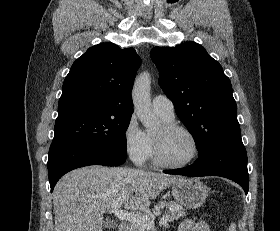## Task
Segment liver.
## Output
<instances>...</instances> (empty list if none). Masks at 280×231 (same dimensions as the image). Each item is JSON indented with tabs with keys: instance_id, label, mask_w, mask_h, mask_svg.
<instances>
[{
	"instance_id": "1",
	"label": "liver",
	"mask_w": 280,
	"mask_h": 231,
	"mask_svg": "<svg viewBox=\"0 0 280 231\" xmlns=\"http://www.w3.org/2000/svg\"><path fill=\"white\" fill-rule=\"evenodd\" d=\"M177 177L130 167L73 169L53 191L55 231H102L103 213L121 205L131 211H148L151 199Z\"/></svg>"
}]
</instances>
